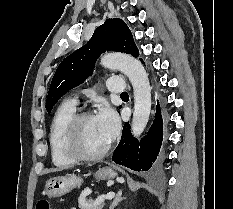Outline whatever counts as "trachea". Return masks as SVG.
I'll return each mask as SVG.
<instances>
[{
    "instance_id": "trachea-1",
    "label": "trachea",
    "mask_w": 233,
    "mask_h": 209,
    "mask_svg": "<svg viewBox=\"0 0 233 209\" xmlns=\"http://www.w3.org/2000/svg\"><path fill=\"white\" fill-rule=\"evenodd\" d=\"M120 95H121V96H127L128 93H127V92H122Z\"/></svg>"
}]
</instances>
